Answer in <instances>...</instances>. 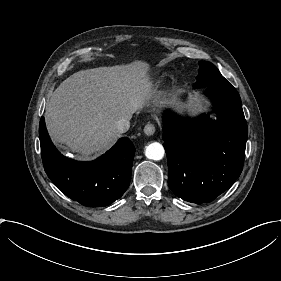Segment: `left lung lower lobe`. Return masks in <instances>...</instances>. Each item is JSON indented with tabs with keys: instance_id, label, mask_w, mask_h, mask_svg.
<instances>
[{
	"instance_id": "obj_1",
	"label": "left lung lower lobe",
	"mask_w": 281,
	"mask_h": 281,
	"mask_svg": "<svg viewBox=\"0 0 281 281\" xmlns=\"http://www.w3.org/2000/svg\"><path fill=\"white\" fill-rule=\"evenodd\" d=\"M217 120L206 114L197 119L164 114L162 139L168 161V184L185 201H213L240 176L247 141V123L237 90L208 86Z\"/></svg>"
}]
</instances>
